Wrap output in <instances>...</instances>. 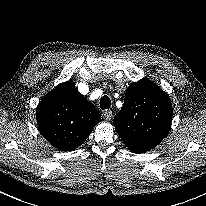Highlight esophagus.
Returning <instances> with one entry per match:
<instances>
[{"label": "esophagus", "instance_id": "esophagus-1", "mask_svg": "<svg viewBox=\"0 0 206 206\" xmlns=\"http://www.w3.org/2000/svg\"><path fill=\"white\" fill-rule=\"evenodd\" d=\"M102 116L105 120L109 121V120H111L113 113L110 110H106L102 113Z\"/></svg>", "mask_w": 206, "mask_h": 206}]
</instances>
